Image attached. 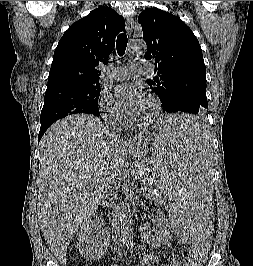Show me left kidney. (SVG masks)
Returning a JSON list of instances; mask_svg holds the SVG:
<instances>
[{
  "label": "left kidney",
  "mask_w": 253,
  "mask_h": 266,
  "mask_svg": "<svg viewBox=\"0 0 253 266\" xmlns=\"http://www.w3.org/2000/svg\"><path fill=\"white\" fill-rule=\"evenodd\" d=\"M159 225L161 226V231L158 232H151V231H144L143 235L147 242L155 245L160 246L161 244H166L171 239V234L169 230V222L163 215H159L157 217Z\"/></svg>",
  "instance_id": "5707ae66"
}]
</instances>
